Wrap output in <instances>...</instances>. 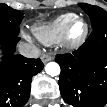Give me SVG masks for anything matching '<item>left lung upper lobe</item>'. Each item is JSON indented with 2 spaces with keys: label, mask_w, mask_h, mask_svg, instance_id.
Returning a JSON list of instances; mask_svg holds the SVG:
<instances>
[{
  "label": "left lung upper lobe",
  "mask_w": 107,
  "mask_h": 107,
  "mask_svg": "<svg viewBox=\"0 0 107 107\" xmlns=\"http://www.w3.org/2000/svg\"><path fill=\"white\" fill-rule=\"evenodd\" d=\"M79 6L89 15L93 29L107 22V12L104 9L85 3H81Z\"/></svg>",
  "instance_id": "5c2ea615"
}]
</instances>
